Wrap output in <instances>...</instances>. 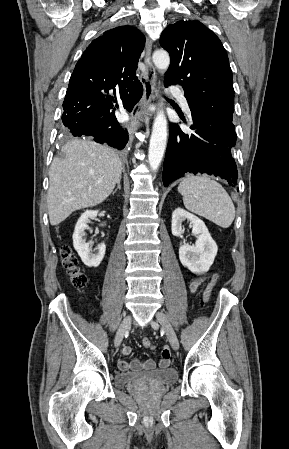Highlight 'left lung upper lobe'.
Here are the masks:
<instances>
[{
  "label": "left lung upper lobe",
  "mask_w": 289,
  "mask_h": 449,
  "mask_svg": "<svg viewBox=\"0 0 289 449\" xmlns=\"http://www.w3.org/2000/svg\"><path fill=\"white\" fill-rule=\"evenodd\" d=\"M160 45L171 59L165 81L181 84L192 104L232 121V70L219 38L201 22L182 20L164 29Z\"/></svg>",
  "instance_id": "1"
}]
</instances>
